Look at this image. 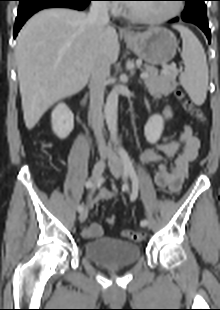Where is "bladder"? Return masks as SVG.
Here are the masks:
<instances>
[{"instance_id":"obj_1","label":"bladder","mask_w":220,"mask_h":310,"mask_svg":"<svg viewBox=\"0 0 220 310\" xmlns=\"http://www.w3.org/2000/svg\"><path fill=\"white\" fill-rule=\"evenodd\" d=\"M85 256L94 263L111 266H129L140 258L138 244L111 237L88 241L83 246Z\"/></svg>"}]
</instances>
